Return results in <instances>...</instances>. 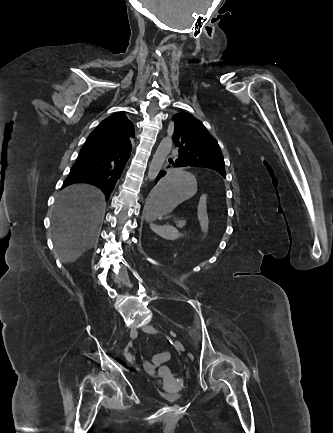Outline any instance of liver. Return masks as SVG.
<instances>
[{
	"label": "liver",
	"mask_w": 333,
	"mask_h": 433,
	"mask_svg": "<svg viewBox=\"0 0 333 433\" xmlns=\"http://www.w3.org/2000/svg\"><path fill=\"white\" fill-rule=\"evenodd\" d=\"M105 209V195L95 186L73 184L60 192L53 207L52 233L61 262H75L98 242Z\"/></svg>",
	"instance_id": "liver-1"
}]
</instances>
